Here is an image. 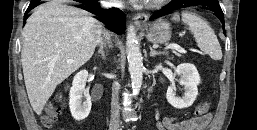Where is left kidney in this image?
I'll use <instances>...</instances> for the list:
<instances>
[{
  "label": "left kidney",
  "instance_id": "left-kidney-1",
  "mask_svg": "<svg viewBox=\"0 0 257 130\" xmlns=\"http://www.w3.org/2000/svg\"><path fill=\"white\" fill-rule=\"evenodd\" d=\"M176 73L180 77L179 83L184 86V96L177 97L173 83L168 87L166 98L167 101L177 109L190 107L197 95L200 76L197 68L190 63H183L177 66Z\"/></svg>",
  "mask_w": 257,
  "mask_h": 130
}]
</instances>
